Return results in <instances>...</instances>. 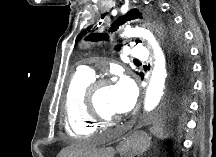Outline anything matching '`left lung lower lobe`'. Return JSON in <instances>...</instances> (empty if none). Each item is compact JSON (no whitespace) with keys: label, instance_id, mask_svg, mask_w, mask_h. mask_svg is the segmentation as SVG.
<instances>
[{"label":"left lung lower lobe","instance_id":"0a47b994","mask_svg":"<svg viewBox=\"0 0 216 157\" xmlns=\"http://www.w3.org/2000/svg\"><path fill=\"white\" fill-rule=\"evenodd\" d=\"M141 77L143 76L141 75ZM191 88V79L182 84L172 75L166 104L160 117L163 121L172 122L174 128L176 129L181 127V115L186 109L187 97L191 91Z\"/></svg>","mask_w":216,"mask_h":157}]
</instances>
